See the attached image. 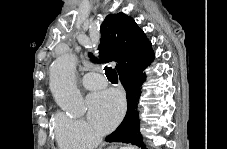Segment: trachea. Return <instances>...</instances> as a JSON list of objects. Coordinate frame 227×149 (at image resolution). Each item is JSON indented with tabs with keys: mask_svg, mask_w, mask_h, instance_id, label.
Returning a JSON list of instances; mask_svg holds the SVG:
<instances>
[{
	"mask_svg": "<svg viewBox=\"0 0 227 149\" xmlns=\"http://www.w3.org/2000/svg\"><path fill=\"white\" fill-rule=\"evenodd\" d=\"M105 74L109 81H111L112 83H115V84L118 83V76H117V72L115 69L106 66Z\"/></svg>",
	"mask_w": 227,
	"mask_h": 149,
	"instance_id": "trachea-1",
	"label": "trachea"
}]
</instances>
